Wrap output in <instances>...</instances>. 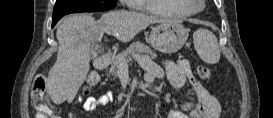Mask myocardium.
Wrapping results in <instances>:
<instances>
[{"label":"myocardium","instance_id":"myocardium-1","mask_svg":"<svg viewBox=\"0 0 273 118\" xmlns=\"http://www.w3.org/2000/svg\"><path fill=\"white\" fill-rule=\"evenodd\" d=\"M190 13H197L205 8V4L200 0H183Z\"/></svg>","mask_w":273,"mask_h":118}]
</instances>
